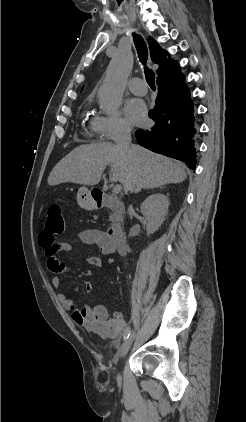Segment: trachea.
I'll list each match as a JSON object with an SVG mask.
<instances>
[{
	"label": "trachea",
	"instance_id": "3493384b",
	"mask_svg": "<svg viewBox=\"0 0 246 422\" xmlns=\"http://www.w3.org/2000/svg\"><path fill=\"white\" fill-rule=\"evenodd\" d=\"M134 44L138 53L139 60L146 65L148 59V50L144 39L139 34H133ZM145 77L148 85L155 89V75L151 69L145 67Z\"/></svg>",
	"mask_w": 246,
	"mask_h": 422
}]
</instances>
